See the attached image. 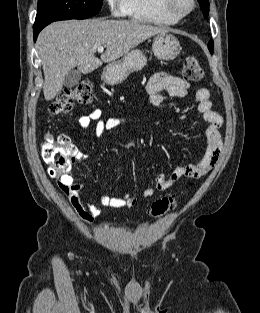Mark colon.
I'll use <instances>...</instances> for the list:
<instances>
[{"label": "colon", "instance_id": "5ec220e1", "mask_svg": "<svg viewBox=\"0 0 260 313\" xmlns=\"http://www.w3.org/2000/svg\"><path fill=\"white\" fill-rule=\"evenodd\" d=\"M182 73L184 78L190 81H200L204 78V70L194 57H187L184 60ZM92 97V83L82 81L62 90L51 102L49 113L52 116L66 115L72 111L75 103L88 104ZM41 153L48 165V173L53 178L67 175L78 154L75 145L67 135L51 134L46 135L45 142L41 145ZM177 205L176 196L163 197L152 204L151 215L156 218L161 217L175 209Z\"/></svg>", "mask_w": 260, "mask_h": 313}]
</instances>
